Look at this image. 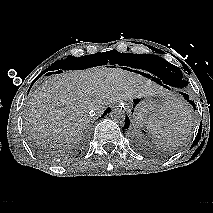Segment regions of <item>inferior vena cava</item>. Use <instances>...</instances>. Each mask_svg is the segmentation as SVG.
I'll return each instance as SVG.
<instances>
[{"instance_id":"602c4592","label":"inferior vena cava","mask_w":213,"mask_h":213,"mask_svg":"<svg viewBox=\"0 0 213 213\" xmlns=\"http://www.w3.org/2000/svg\"><path fill=\"white\" fill-rule=\"evenodd\" d=\"M88 114H89V116L92 117V116H94L95 112H94V110L91 109V110H89Z\"/></svg>"}]
</instances>
